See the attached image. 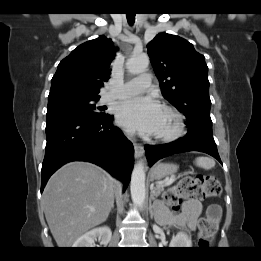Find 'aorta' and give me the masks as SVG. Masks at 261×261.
<instances>
[{
	"label": "aorta",
	"instance_id": "aorta-1",
	"mask_svg": "<svg viewBox=\"0 0 261 261\" xmlns=\"http://www.w3.org/2000/svg\"><path fill=\"white\" fill-rule=\"evenodd\" d=\"M149 65L147 56H132L126 63V67L131 74L144 72ZM145 171L142 163H137L131 175V198L134 205L142 207L145 200Z\"/></svg>",
	"mask_w": 261,
	"mask_h": 261
}]
</instances>
